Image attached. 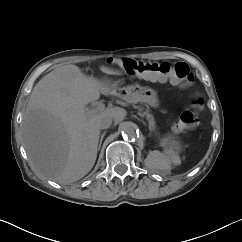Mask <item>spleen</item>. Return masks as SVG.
Segmentation results:
<instances>
[{
    "instance_id": "1",
    "label": "spleen",
    "mask_w": 242,
    "mask_h": 242,
    "mask_svg": "<svg viewBox=\"0 0 242 242\" xmlns=\"http://www.w3.org/2000/svg\"><path fill=\"white\" fill-rule=\"evenodd\" d=\"M179 161V155L172 150H167L164 153L159 151L150 152L146 160L149 167L164 172L170 171L171 165L178 164Z\"/></svg>"
}]
</instances>
